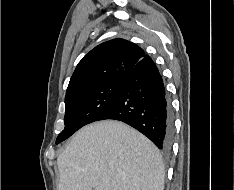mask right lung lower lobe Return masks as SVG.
Segmentation results:
<instances>
[{"label":"right lung lower lobe","mask_w":234,"mask_h":190,"mask_svg":"<svg viewBox=\"0 0 234 190\" xmlns=\"http://www.w3.org/2000/svg\"><path fill=\"white\" fill-rule=\"evenodd\" d=\"M122 121L168 151L173 138V115L163 79L146 55L123 77L113 105L97 120Z\"/></svg>","instance_id":"obj_1"}]
</instances>
